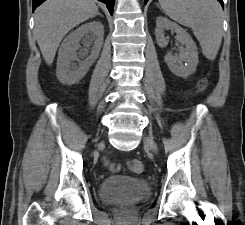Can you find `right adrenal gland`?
<instances>
[{
	"label": "right adrenal gland",
	"instance_id": "2a0ac1e0",
	"mask_svg": "<svg viewBox=\"0 0 245 225\" xmlns=\"http://www.w3.org/2000/svg\"><path fill=\"white\" fill-rule=\"evenodd\" d=\"M98 15H99V16H101V17H103V15H102V14H100V13H98Z\"/></svg>",
	"mask_w": 245,
	"mask_h": 225
}]
</instances>
